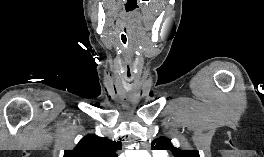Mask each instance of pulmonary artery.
Segmentation results:
<instances>
[{
  "instance_id": "e3ab8cb5",
  "label": "pulmonary artery",
  "mask_w": 264,
  "mask_h": 157,
  "mask_svg": "<svg viewBox=\"0 0 264 157\" xmlns=\"http://www.w3.org/2000/svg\"><path fill=\"white\" fill-rule=\"evenodd\" d=\"M157 153H159V154H165L164 152H157Z\"/></svg>"
}]
</instances>
